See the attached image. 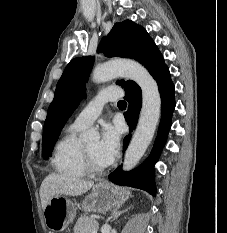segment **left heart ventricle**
I'll return each instance as SVG.
<instances>
[{
	"label": "left heart ventricle",
	"instance_id": "1",
	"mask_svg": "<svg viewBox=\"0 0 227 233\" xmlns=\"http://www.w3.org/2000/svg\"><path fill=\"white\" fill-rule=\"evenodd\" d=\"M98 146L99 142H93L85 145V148L96 165L104 166L106 164L100 159L98 155Z\"/></svg>",
	"mask_w": 227,
	"mask_h": 233
}]
</instances>
